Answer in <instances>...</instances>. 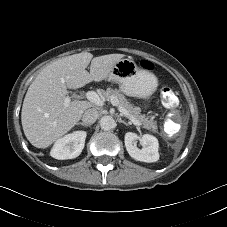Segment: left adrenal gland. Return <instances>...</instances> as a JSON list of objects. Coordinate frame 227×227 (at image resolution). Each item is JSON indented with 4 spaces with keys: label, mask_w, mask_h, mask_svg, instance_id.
<instances>
[{
    "label": "left adrenal gland",
    "mask_w": 227,
    "mask_h": 227,
    "mask_svg": "<svg viewBox=\"0 0 227 227\" xmlns=\"http://www.w3.org/2000/svg\"><path fill=\"white\" fill-rule=\"evenodd\" d=\"M120 123H123V124H125V125H128V124H130V123H127V122H125L124 120H122L121 118H119V120H118Z\"/></svg>",
    "instance_id": "obj_1"
}]
</instances>
